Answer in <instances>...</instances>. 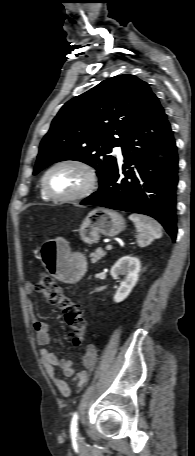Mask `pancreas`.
<instances>
[{"mask_svg":"<svg viewBox=\"0 0 195 456\" xmlns=\"http://www.w3.org/2000/svg\"><path fill=\"white\" fill-rule=\"evenodd\" d=\"M106 255V252L102 248H97L94 252L90 254L91 263H97L102 257Z\"/></svg>","mask_w":195,"mask_h":456,"instance_id":"cf45deb5","label":"pancreas"}]
</instances>
